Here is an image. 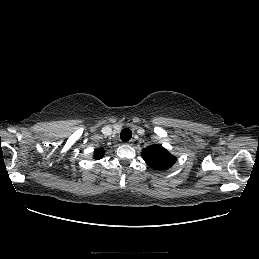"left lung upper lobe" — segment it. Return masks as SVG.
Wrapping results in <instances>:
<instances>
[{
  "mask_svg": "<svg viewBox=\"0 0 259 259\" xmlns=\"http://www.w3.org/2000/svg\"><path fill=\"white\" fill-rule=\"evenodd\" d=\"M142 157L150 167L166 170L174 165L176 157L170 154L161 145H151L143 149Z\"/></svg>",
  "mask_w": 259,
  "mask_h": 259,
  "instance_id": "1",
  "label": "left lung upper lobe"
}]
</instances>
